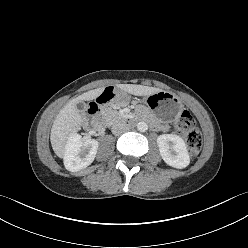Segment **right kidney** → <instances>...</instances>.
<instances>
[{
	"label": "right kidney",
	"mask_w": 248,
	"mask_h": 248,
	"mask_svg": "<svg viewBox=\"0 0 248 248\" xmlns=\"http://www.w3.org/2000/svg\"><path fill=\"white\" fill-rule=\"evenodd\" d=\"M98 142L94 139L82 138L73 133L66 145L64 165L68 171L77 172L88 167L95 159Z\"/></svg>",
	"instance_id": "right-kidney-1"
}]
</instances>
